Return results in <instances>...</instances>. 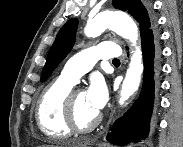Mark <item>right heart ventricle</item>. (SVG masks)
Segmentation results:
<instances>
[{
	"mask_svg": "<svg viewBox=\"0 0 183 147\" xmlns=\"http://www.w3.org/2000/svg\"><path fill=\"white\" fill-rule=\"evenodd\" d=\"M74 83L58 77L42 91L36 107V120L41 132L50 139H64L72 131L65 121V100Z\"/></svg>",
	"mask_w": 183,
	"mask_h": 147,
	"instance_id": "1",
	"label": "right heart ventricle"
}]
</instances>
